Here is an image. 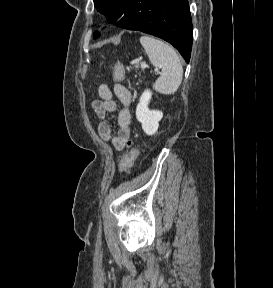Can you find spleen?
<instances>
[{
  "label": "spleen",
  "instance_id": "obj_1",
  "mask_svg": "<svg viewBox=\"0 0 273 288\" xmlns=\"http://www.w3.org/2000/svg\"><path fill=\"white\" fill-rule=\"evenodd\" d=\"M140 43L152 65L161 68V75L153 84V88L161 94H174L183 78L182 64L178 54L169 44L150 36H142Z\"/></svg>",
  "mask_w": 273,
  "mask_h": 288
}]
</instances>
